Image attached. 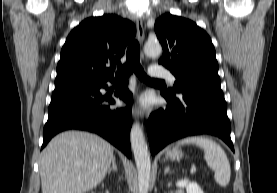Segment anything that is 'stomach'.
I'll use <instances>...</instances> for the list:
<instances>
[{"label": "stomach", "mask_w": 277, "mask_h": 193, "mask_svg": "<svg viewBox=\"0 0 277 193\" xmlns=\"http://www.w3.org/2000/svg\"><path fill=\"white\" fill-rule=\"evenodd\" d=\"M166 156L171 160H179L183 156V154L179 149L174 148L172 150H168Z\"/></svg>", "instance_id": "1"}]
</instances>
